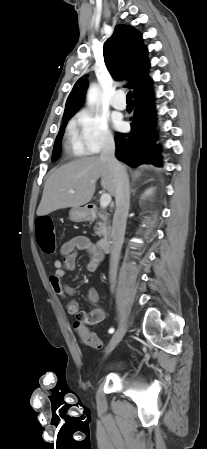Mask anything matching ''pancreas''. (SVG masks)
I'll return each mask as SVG.
<instances>
[{"label": "pancreas", "mask_w": 207, "mask_h": 449, "mask_svg": "<svg viewBox=\"0 0 207 449\" xmlns=\"http://www.w3.org/2000/svg\"><path fill=\"white\" fill-rule=\"evenodd\" d=\"M98 217L100 218V221L96 223L97 226H95L94 228L95 234L98 236L106 237L110 233V223L107 220V216L105 213H98Z\"/></svg>", "instance_id": "1"}]
</instances>
